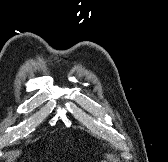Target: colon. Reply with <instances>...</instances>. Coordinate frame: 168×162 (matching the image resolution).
Here are the masks:
<instances>
[{"instance_id":"colon-1","label":"colon","mask_w":168,"mask_h":162,"mask_svg":"<svg viewBox=\"0 0 168 162\" xmlns=\"http://www.w3.org/2000/svg\"><path fill=\"white\" fill-rule=\"evenodd\" d=\"M101 162H109V160H102Z\"/></svg>"}]
</instances>
